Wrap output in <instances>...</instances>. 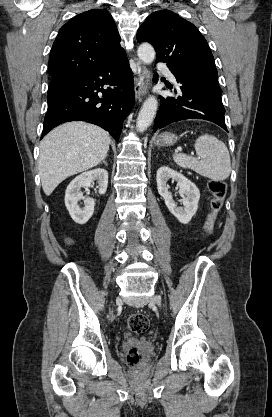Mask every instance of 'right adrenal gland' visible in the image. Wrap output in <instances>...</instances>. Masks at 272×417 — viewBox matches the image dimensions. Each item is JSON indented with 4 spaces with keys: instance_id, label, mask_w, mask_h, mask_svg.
I'll use <instances>...</instances> for the list:
<instances>
[{
    "instance_id": "right-adrenal-gland-1",
    "label": "right adrenal gland",
    "mask_w": 272,
    "mask_h": 417,
    "mask_svg": "<svg viewBox=\"0 0 272 417\" xmlns=\"http://www.w3.org/2000/svg\"><path fill=\"white\" fill-rule=\"evenodd\" d=\"M101 164H105L107 166V162L105 161V158L102 160Z\"/></svg>"
}]
</instances>
